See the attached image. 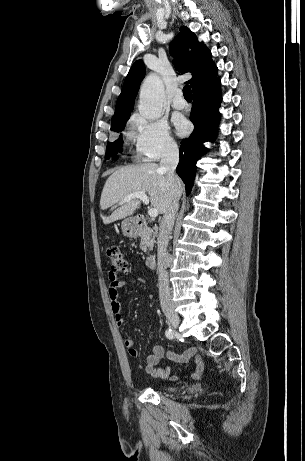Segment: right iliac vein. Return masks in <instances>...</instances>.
I'll use <instances>...</instances> for the list:
<instances>
[{"mask_svg":"<svg viewBox=\"0 0 305 461\" xmlns=\"http://www.w3.org/2000/svg\"><path fill=\"white\" fill-rule=\"evenodd\" d=\"M164 313L169 325L173 328H177L179 326L180 319L174 309L171 307L165 308Z\"/></svg>","mask_w":305,"mask_h":461,"instance_id":"right-iliac-vein-1","label":"right iliac vein"}]
</instances>
